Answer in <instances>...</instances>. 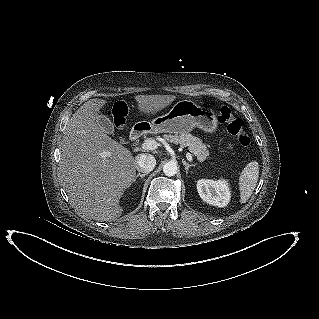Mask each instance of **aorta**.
<instances>
[{
  "label": "aorta",
  "instance_id": "1",
  "mask_svg": "<svg viewBox=\"0 0 319 319\" xmlns=\"http://www.w3.org/2000/svg\"><path fill=\"white\" fill-rule=\"evenodd\" d=\"M163 172L166 176H174L177 173V165L174 162H167L163 166Z\"/></svg>",
  "mask_w": 319,
  "mask_h": 319
}]
</instances>
